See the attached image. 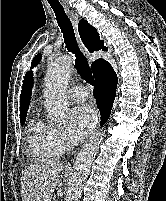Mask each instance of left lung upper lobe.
Returning <instances> with one entry per match:
<instances>
[{
    "instance_id": "left-lung-upper-lobe-1",
    "label": "left lung upper lobe",
    "mask_w": 166,
    "mask_h": 201,
    "mask_svg": "<svg viewBox=\"0 0 166 201\" xmlns=\"http://www.w3.org/2000/svg\"><path fill=\"white\" fill-rule=\"evenodd\" d=\"M40 60H41V54L36 55V56L34 57L33 61H32L31 68H32L33 66H36L37 63H39Z\"/></svg>"
}]
</instances>
